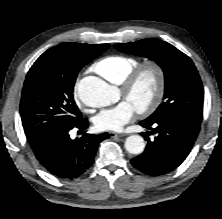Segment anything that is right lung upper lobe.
Segmentation results:
<instances>
[{
  "label": "right lung upper lobe",
  "mask_w": 222,
  "mask_h": 219,
  "mask_svg": "<svg viewBox=\"0 0 222 219\" xmlns=\"http://www.w3.org/2000/svg\"><path fill=\"white\" fill-rule=\"evenodd\" d=\"M41 142H42V140H38V141L30 142V144L34 148V147L38 146Z\"/></svg>",
  "instance_id": "1"
}]
</instances>
